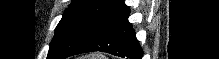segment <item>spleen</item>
Listing matches in <instances>:
<instances>
[{
    "instance_id": "spleen-1",
    "label": "spleen",
    "mask_w": 219,
    "mask_h": 59,
    "mask_svg": "<svg viewBox=\"0 0 219 59\" xmlns=\"http://www.w3.org/2000/svg\"><path fill=\"white\" fill-rule=\"evenodd\" d=\"M104 57H101V56H96V57H93V58H91V59H103Z\"/></svg>"
}]
</instances>
